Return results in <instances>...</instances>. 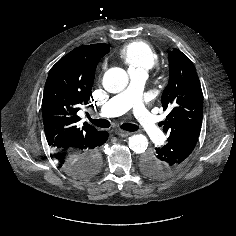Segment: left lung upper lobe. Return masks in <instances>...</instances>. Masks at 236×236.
Returning a JSON list of instances; mask_svg holds the SVG:
<instances>
[{"instance_id":"5c2ea615","label":"left lung upper lobe","mask_w":236,"mask_h":236,"mask_svg":"<svg viewBox=\"0 0 236 236\" xmlns=\"http://www.w3.org/2000/svg\"><path fill=\"white\" fill-rule=\"evenodd\" d=\"M169 82L163 91V109H169L163 125L168 139L189 132H200L203 94L193 63L178 49L168 54Z\"/></svg>"}]
</instances>
